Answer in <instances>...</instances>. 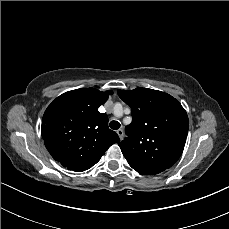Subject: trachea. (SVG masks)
I'll return each mask as SVG.
<instances>
[{
    "mask_svg": "<svg viewBox=\"0 0 229 229\" xmlns=\"http://www.w3.org/2000/svg\"><path fill=\"white\" fill-rule=\"evenodd\" d=\"M109 126L111 129L117 130L120 128V122L113 120L110 122Z\"/></svg>",
    "mask_w": 229,
    "mask_h": 229,
    "instance_id": "1",
    "label": "trachea"
}]
</instances>
